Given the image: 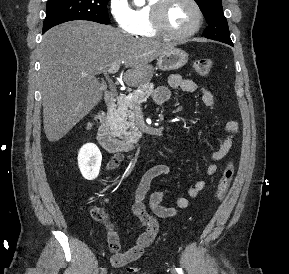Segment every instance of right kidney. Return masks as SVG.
Here are the masks:
<instances>
[{
	"label": "right kidney",
	"mask_w": 289,
	"mask_h": 274,
	"mask_svg": "<svg viewBox=\"0 0 289 274\" xmlns=\"http://www.w3.org/2000/svg\"><path fill=\"white\" fill-rule=\"evenodd\" d=\"M101 161V152L95 144H85L78 153V166L82 176L87 180L98 177Z\"/></svg>",
	"instance_id": "right-kidney-1"
}]
</instances>
